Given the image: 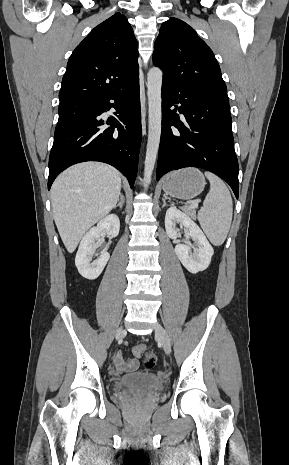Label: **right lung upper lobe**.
Wrapping results in <instances>:
<instances>
[{
  "mask_svg": "<svg viewBox=\"0 0 289 465\" xmlns=\"http://www.w3.org/2000/svg\"><path fill=\"white\" fill-rule=\"evenodd\" d=\"M138 45L127 18L116 13L75 48L59 93L60 105L93 101L139 76Z\"/></svg>",
  "mask_w": 289,
  "mask_h": 465,
  "instance_id": "right-lung-upper-lobe-1",
  "label": "right lung upper lobe"
}]
</instances>
